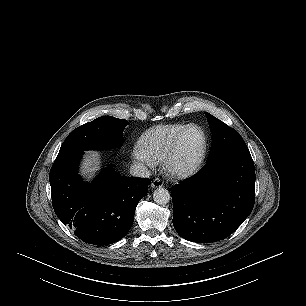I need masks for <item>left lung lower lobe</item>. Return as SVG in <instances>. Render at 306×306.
<instances>
[{"label": "left lung lower lobe", "instance_id": "1", "mask_svg": "<svg viewBox=\"0 0 306 306\" xmlns=\"http://www.w3.org/2000/svg\"><path fill=\"white\" fill-rule=\"evenodd\" d=\"M173 225L184 239L210 243L231 235L250 215L255 169L249 151L216 156L172 188Z\"/></svg>", "mask_w": 306, "mask_h": 306}]
</instances>
